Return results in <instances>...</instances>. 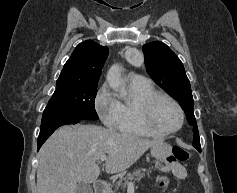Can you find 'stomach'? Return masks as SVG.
<instances>
[{"mask_svg":"<svg viewBox=\"0 0 237 193\" xmlns=\"http://www.w3.org/2000/svg\"><path fill=\"white\" fill-rule=\"evenodd\" d=\"M171 152V146L164 141H160L151 147V155L156 159H164Z\"/></svg>","mask_w":237,"mask_h":193,"instance_id":"0dacf381","label":"stomach"}]
</instances>
